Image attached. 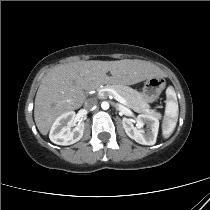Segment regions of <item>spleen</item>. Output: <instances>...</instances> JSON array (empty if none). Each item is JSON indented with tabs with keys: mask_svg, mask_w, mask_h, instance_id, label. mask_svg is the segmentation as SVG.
Wrapping results in <instances>:
<instances>
[{
	"mask_svg": "<svg viewBox=\"0 0 210 210\" xmlns=\"http://www.w3.org/2000/svg\"><path fill=\"white\" fill-rule=\"evenodd\" d=\"M166 109L162 124V133L164 138L170 137L173 133L177 120H178V102L175 90L172 87H168L166 90Z\"/></svg>",
	"mask_w": 210,
	"mask_h": 210,
	"instance_id": "3e777b00",
	"label": "spleen"
}]
</instances>
